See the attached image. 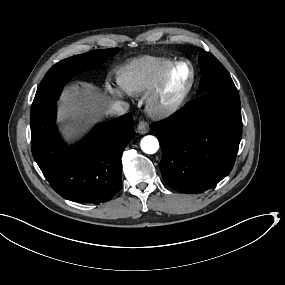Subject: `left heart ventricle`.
Masks as SVG:
<instances>
[{"instance_id": "b2bd125f", "label": "left heart ventricle", "mask_w": 285, "mask_h": 285, "mask_svg": "<svg viewBox=\"0 0 285 285\" xmlns=\"http://www.w3.org/2000/svg\"><path fill=\"white\" fill-rule=\"evenodd\" d=\"M185 82L179 77L174 76L168 83L164 93L159 98V103L173 102L182 92Z\"/></svg>"}]
</instances>
